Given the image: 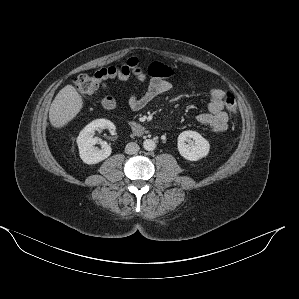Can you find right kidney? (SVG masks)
<instances>
[{
  "instance_id": "right-kidney-1",
  "label": "right kidney",
  "mask_w": 299,
  "mask_h": 299,
  "mask_svg": "<svg viewBox=\"0 0 299 299\" xmlns=\"http://www.w3.org/2000/svg\"><path fill=\"white\" fill-rule=\"evenodd\" d=\"M103 129L114 130L115 125L109 120L97 119L85 126L77 137L79 155L84 163L96 164L110 156L112 149L106 142H101V149L95 147L98 143L94 137L95 131Z\"/></svg>"
}]
</instances>
